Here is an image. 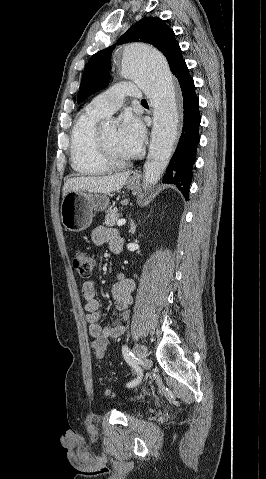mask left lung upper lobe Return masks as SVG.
I'll return each instance as SVG.
<instances>
[{
  "instance_id": "1",
  "label": "left lung upper lobe",
  "mask_w": 266,
  "mask_h": 479,
  "mask_svg": "<svg viewBox=\"0 0 266 479\" xmlns=\"http://www.w3.org/2000/svg\"><path fill=\"white\" fill-rule=\"evenodd\" d=\"M129 42H144L155 46L168 60L173 74L185 62L173 30L158 17L141 19L118 39L117 44ZM114 47H108L91 56L82 76L78 101L108 85Z\"/></svg>"
}]
</instances>
